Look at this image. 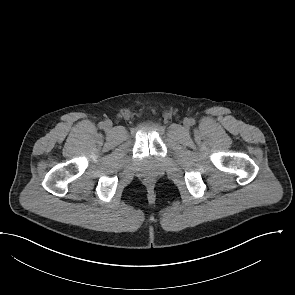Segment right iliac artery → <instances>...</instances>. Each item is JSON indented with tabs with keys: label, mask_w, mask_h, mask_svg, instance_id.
<instances>
[{
	"label": "right iliac artery",
	"mask_w": 295,
	"mask_h": 295,
	"mask_svg": "<svg viewBox=\"0 0 295 295\" xmlns=\"http://www.w3.org/2000/svg\"><path fill=\"white\" fill-rule=\"evenodd\" d=\"M99 127H100V128H104V122H100V123H99Z\"/></svg>",
	"instance_id": "obj_1"
}]
</instances>
